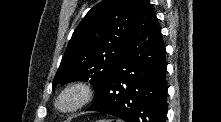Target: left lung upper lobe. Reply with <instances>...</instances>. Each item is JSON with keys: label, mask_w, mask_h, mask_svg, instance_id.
I'll return each mask as SVG.
<instances>
[{"label": "left lung upper lobe", "mask_w": 221, "mask_h": 122, "mask_svg": "<svg viewBox=\"0 0 221 122\" xmlns=\"http://www.w3.org/2000/svg\"><path fill=\"white\" fill-rule=\"evenodd\" d=\"M141 0H103L75 29L53 80L59 83L87 81L96 100L103 92L130 36Z\"/></svg>", "instance_id": "5c2ea615"}]
</instances>
